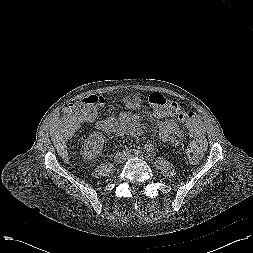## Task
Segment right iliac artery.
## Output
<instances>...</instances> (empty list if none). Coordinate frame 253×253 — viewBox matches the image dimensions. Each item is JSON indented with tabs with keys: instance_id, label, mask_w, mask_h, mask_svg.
<instances>
[{
	"instance_id": "82829eb1",
	"label": "right iliac artery",
	"mask_w": 253,
	"mask_h": 253,
	"mask_svg": "<svg viewBox=\"0 0 253 253\" xmlns=\"http://www.w3.org/2000/svg\"><path fill=\"white\" fill-rule=\"evenodd\" d=\"M123 153H124L125 156H128V155L131 154V150L125 149V150L123 151Z\"/></svg>"
}]
</instances>
